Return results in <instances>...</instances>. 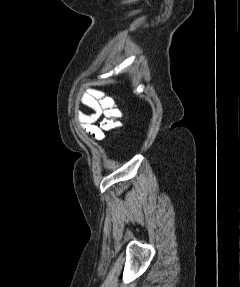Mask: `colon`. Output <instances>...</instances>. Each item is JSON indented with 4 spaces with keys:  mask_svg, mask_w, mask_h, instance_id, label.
<instances>
[{
    "mask_svg": "<svg viewBox=\"0 0 240 287\" xmlns=\"http://www.w3.org/2000/svg\"><path fill=\"white\" fill-rule=\"evenodd\" d=\"M95 99L103 115V119L100 122V128L104 132H110L118 129L121 126V112L115 108L113 100L102 95H96Z\"/></svg>",
    "mask_w": 240,
    "mask_h": 287,
    "instance_id": "obj_1",
    "label": "colon"
}]
</instances>
